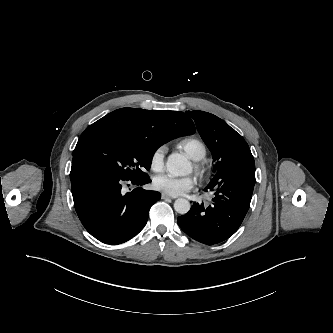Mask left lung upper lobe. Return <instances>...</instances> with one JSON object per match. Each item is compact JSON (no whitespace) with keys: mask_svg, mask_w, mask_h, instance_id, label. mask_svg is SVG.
I'll list each match as a JSON object with an SVG mask.
<instances>
[{"mask_svg":"<svg viewBox=\"0 0 333 333\" xmlns=\"http://www.w3.org/2000/svg\"><path fill=\"white\" fill-rule=\"evenodd\" d=\"M194 119L198 132L212 152L217 172L231 159L250 152L246 141L217 116L203 111H187Z\"/></svg>","mask_w":333,"mask_h":333,"instance_id":"1","label":"left lung upper lobe"}]
</instances>
